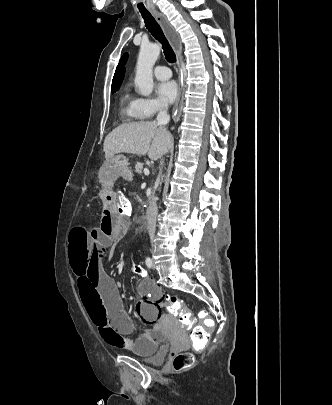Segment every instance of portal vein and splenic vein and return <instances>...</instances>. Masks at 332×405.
<instances>
[{
  "label": "portal vein and splenic vein",
  "instance_id": "portal-vein-and-splenic-vein-1",
  "mask_svg": "<svg viewBox=\"0 0 332 405\" xmlns=\"http://www.w3.org/2000/svg\"><path fill=\"white\" fill-rule=\"evenodd\" d=\"M149 173H150V172H149V169L145 168V169H144V174H145L146 176H148Z\"/></svg>",
  "mask_w": 332,
  "mask_h": 405
}]
</instances>
